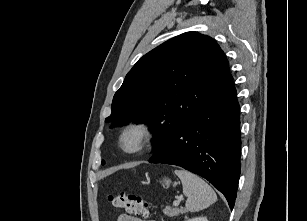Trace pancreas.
I'll use <instances>...</instances> for the list:
<instances>
[{"mask_svg": "<svg viewBox=\"0 0 307 221\" xmlns=\"http://www.w3.org/2000/svg\"><path fill=\"white\" fill-rule=\"evenodd\" d=\"M164 214L167 215L168 217H174L179 214H184L186 213L185 208H171L169 206H166L163 210Z\"/></svg>", "mask_w": 307, "mask_h": 221, "instance_id": "1", "label": "pancreas"}]
</instances>
